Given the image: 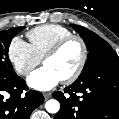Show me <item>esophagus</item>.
Wrapping results in <instances>:
<instances>
[{"instance_id": "1", "label": "esophagus", "mask_w": 119, "mask_h": 119, "mask_svg": "<svg viewBox=\"0 0 119 119\" xmlns=\"http://www.w3.org/2000/svg\"><path fill=\"white\" fill-rule=\"evenodd\" d=\"M43 96H44L45 100H47L51 97V93L50 92H45V93H43Z\"/></svg>"}]
</instances>
